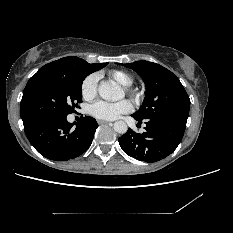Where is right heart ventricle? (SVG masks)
Wrapping results in <instances>:
<instances>
[{
	"instance_id": "obj_1",
	"label": "right heart ventricle",
	"mask_w": 233,
	"mask_h": 233,
	"mask_svg": "<svg viewBox=\"0 0 233 233\" xmlns=\"http://www.w3.org/2000/svg\"><path fill=\"white\" fill-rule=\"evenodd\" d=\"M107 76L123 86H130L134 82V77L125 70H110L107 72Z\"/></svg>"
}]
</instances>
